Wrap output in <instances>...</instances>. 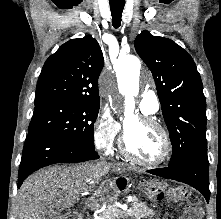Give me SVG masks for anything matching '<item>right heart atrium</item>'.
<instances>
[{
    "instance_id": "right-heart-atrium-1",
    "label": "right heart atrium",
    "mask_w": 221,
    "mask_h": 219,
    "mask_svg": "<svg viewBox=\"0 0 221 219\" xmlns=\"http://www.w3.org/2000/svg\"><path fill=\"white\" fill-rule=\"evenodd\" d=\"M119 132L120 124L108 109H102L96 117L93 126V137L96 147L103 153L111 152Z\"/></svg>"
}]
</instances>
